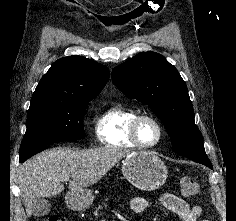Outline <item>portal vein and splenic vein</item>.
<instances>
[{
  "instance_id": "18ae733b",
  "label": "portal vein and splenic vein",
  "mask_w": 236,
  "mask_h": 221,
  "mask_svg": "<svg viewBox=\"0 0 236 221\" xmlns=\"http://www.w3.org/2000/svg\"><path fill=\"white\" fill-rule=\"evenodd\" d=\"M70 179L69 178H65L64 181H69Z\"/></svg>"
}]
</instances>
